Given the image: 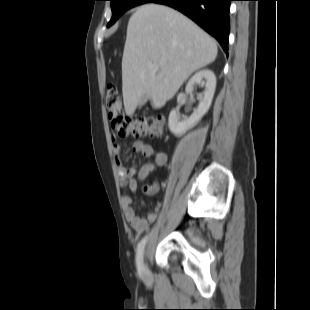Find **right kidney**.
I'll use <instances>...</instances> for the list:
<instances>
[{
	"label": "right kidney",
	"mask_w": 310,
	"mask_h": 310,
	"mask_svg": "<svg viewBox=\"0 0 310 310\" xmlns=\"http://www.w3.org/2000/svg\"><path fill=\"white\" fill-rule=\"evenodd\" d=\"M195 84L205 86V91L198 97L199 104L189 118L181 119L179 113L173 109L168 118V126L175 136H180L189 128L196 125L208 112L216 89V77L210 69H202L196 72L188 81L185 91L192 95Z\"/></svg>",
	"instance_id": "ca27d5eb"
}]
</instances>
